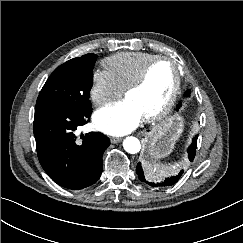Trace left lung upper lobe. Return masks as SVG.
Returning <instances> with one entry per match:
<instances>
[{"label":"left lung upper lobe","mask_w":243,"mask_h":243,"mask_svg":"<svg viewBox=\"0 0 243 243\" xmlns=\"http://www.w3.org/2000/svg\"><path fill=\"white\" fill-rule=\"evenodd\" d=\"M184 95L185 96H189L190 95V90H187V92Z\"/></svg>","instance_id":"5c2ea615"}]
</instances>
